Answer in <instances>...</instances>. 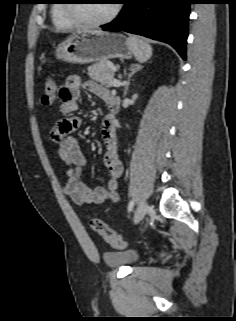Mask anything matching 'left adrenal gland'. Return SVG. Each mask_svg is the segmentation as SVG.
Returning <instances> with one entry per match:
<instances>
[{"label":"left adrenal gland","mask_w":236,"mask_h":321,"mask_svg":"<svg viewBox=\"0 0 236 321\" xmlns=\"http://www.w3.org/2000/svg\"><path fill=\"white\" fill-rule=\"evenodd\" d=\"M142 66L139 64H131L129 70H130V74L128 75V79L125 85V89H124V96L127 94L128 91V87L130 85V81H131V77L138 71L142 70Z\"/></svg>","instance_id":"obj_1"}]
</instances>
